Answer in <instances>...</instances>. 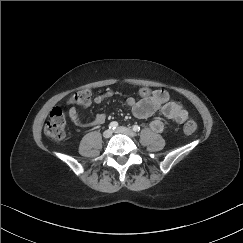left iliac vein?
<instances>
[{"instance_id": "1", "label": "left iliac vein", "mask_w": 243, "mask_h": 243, "mask_svg": "<svg viewBox=\"0 0 243 243\" xmlns=\"http://www.w3.org/2000/svg\"><path fill=\"white\" fill-rule=\"evenodd\" d=\"M115 133L126 134L129 137L136 136V133L132 129L124 127V126H120V127L116 128Z\"/></svg>"}]
</instances>
